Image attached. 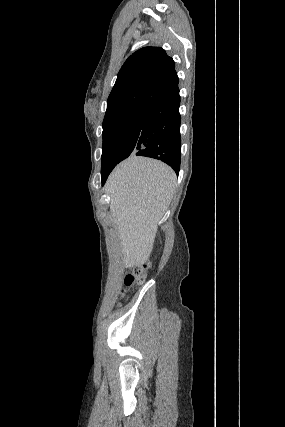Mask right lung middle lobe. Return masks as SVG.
<instances>
[{
    "label": "right lung middle lobe",
    "instance_id": "1",
    "mask_svg": "<svg viewBox=\"0 0 285 427\" xmlns=\"http://www.w3.org/2000/svg\"><path fill=\"white\" fill-rule=\"evenodd\" d=\"M146 110L134 112L102 125L101 172L112 171L135 151Z\"/></svg>",
    "mask_w": 285,
    "mask_h": 427
}]
</instances>
